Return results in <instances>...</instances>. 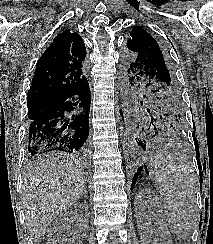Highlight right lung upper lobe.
Listing matches in <instances>:
<instances>
[{
    "label": "right lung upper lobe",
    "instance_id": "cb5924a9",
    "mask_svg": "<svg viewBox=\"0 0 213 244\" xmlns=\"http://www.w3.org/2000/svg\"><path fill=\"white\" fill-rule=\"evenodd\" d=\"M85 57L86 48L81 36L70 29L63 30L37 62L27 98L58 97L74 90L85 78H81Z\"/></svg>",
    "mask_w": 213,
    "mask_h": 244
}]
</instances>
